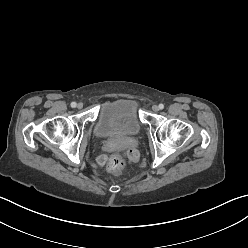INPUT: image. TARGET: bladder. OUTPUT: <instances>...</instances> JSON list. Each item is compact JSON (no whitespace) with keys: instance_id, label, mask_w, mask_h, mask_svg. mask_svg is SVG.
I'll use <instances>...</instances> for the list:
<instances>
[{"instance_id":"bladder-1","label":"bladder","mask_w":248,"mask_h":248,"mask_svg":"<svg viewBox=\"0 0 248 248\" xmlns=\"http://www.w3.org/2000/svg\"><path fill=\"white\" fill-rule=\"evenodd\" d=\"M142 123L136 105L129 99L103 102L98 109L93 133L97 138H118L139 133Z\"/></svg>"}]
</instances>
